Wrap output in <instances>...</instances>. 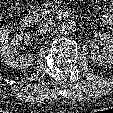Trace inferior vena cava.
Here are the masks:
<instances>
[{
  "label": "inferior vena cava",
  "instance_id": "1",
  "mask_svg": "<svg viewBox=\"0 0 113 113\" xmlns=\"http://www.w3.org/2000/svg\"><path fill=\"white\" fill-rule=\"evenodd\" d=\"M54 27H55V23L52 21H48L41 23L39 25L38 31L43 34L52 31Z\"/></svg>",
  "mask_w": 113,
  "mask_h": 113
}]
</instances>
